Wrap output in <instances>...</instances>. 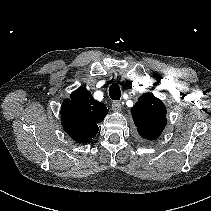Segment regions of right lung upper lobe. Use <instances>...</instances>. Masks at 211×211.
Instances as JSON below:
<instances>
[{"label": "right lung upper lobe", "mask_w": 211, "mask_h": 211, "mask_svg": "<svg viewBox=\"0 0 211 211\" xmlns=\"http://www.w3.org/2000/svg\"><path fill=\"white\" fill-rule=\"evenodd\" d=\"M107 113L106 105L95 100L92 94L82 87L72 92L70 99L64 100L61 108L62 125L74 141L86 143L97 134V124Z\"/></svg>", "instance_id": "cb5924a9"}]
</instances>
